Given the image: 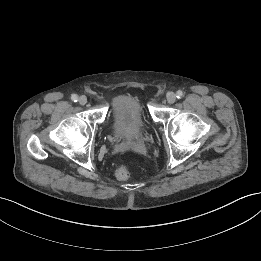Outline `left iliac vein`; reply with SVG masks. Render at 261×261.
<instances>
[{
  "mask_svg": "<svg viewBox=\"0 0 261 261\" xmlns=\"http://www.w3.org/2000/svg\"><path fill=\"white\" fill-rule=\"evenodd\" d=\"M166 99L168 103L173 104L176 101V95L173 92H168Z\"/></svg>",
  "mask_w": 261,
  "mask_h": 261,
  "instance_id": "obj_1",
  "label": "left iliac vein"
}]
</instances>
